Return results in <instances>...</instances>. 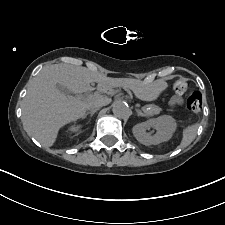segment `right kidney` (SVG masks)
I'll use <instances>...</instances> for the list:
<instances>
[{
	"label": "right kidney",
	"mask_w": 225,
	"mask_h": 225,
	"mask_svg": "<svg viewBox=\"0 0 225 225\" xmlns=\"http://www.w3.org/2000/svg\"><path fill=\"white\" fill-rule=\"evenodd\" d=\"M69 130L72 131V132H78V131H79V126L72 125V126L69 128Z\"/></svg>",
	"instance_id": "1"
}]
</instances>
